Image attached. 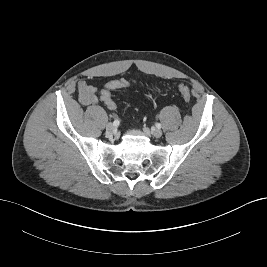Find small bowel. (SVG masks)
I'll list each match as a JSON object with an SVG mask.
<instances>
[{
  "instance_id": "c3829d8e",
  "label": "small bowel",
  "mask_w": 267,
  "mask_h": 267,
  "mask_svg": "<svg viewBox=\"0 0 267 267\" xmlns=\"http://www.w3.org/2000/svg\"><path fill=\"white\" fill-rule=\"evenodd\" d=\"M79 100L83 105H94L99 103L97 89L92 84L82 81L78 85Z\"/></svg>"
}]
</instances>
